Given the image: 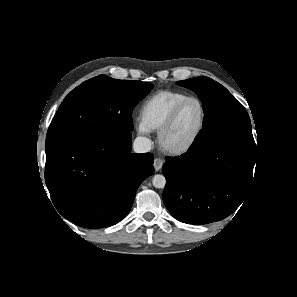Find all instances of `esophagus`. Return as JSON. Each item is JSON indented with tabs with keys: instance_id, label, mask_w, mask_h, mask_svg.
Listing matches in <instances>:
<instances>
[{
	"instance_id": "1",
	"label": "esophagus",
	"mask_w": 297,
	"mask_h": 297,
	"mask_svg": "<svg viewBox=\"0 0 297 297\" xmlns=\"http://www.w3.org/2000/svg\"><path fill=\"white\" fill-rule=\"evenodd\" d=\"M163 163H164L163 160L160 159V158H156V159H154V161H153L154 169H155L156 171H159V170L162 168Z\"/></svg>"
}]
</instances>
